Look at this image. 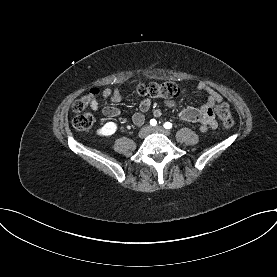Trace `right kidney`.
<instances>
[{
    "label": "right kidney",
    "mask_w": 277,
    "mask_h": 277,
    "mask_svg": "<svg viewBox=\"0 0 277 277\" xmlns=\"http://www.w3.org/2000/svg\"><path fill=\"white\" fill-rule=\"evenodd\" d=\"M117 130V124L114 122H107L103 127L99 128L96 133L100 136H111Z\"/></svg>",
    "instance_id": "right-kidney-1"
}]
</instances>
